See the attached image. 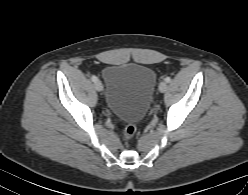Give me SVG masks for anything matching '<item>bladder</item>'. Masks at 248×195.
I'll return each instance as SVG.
<instances>
[{"mask_svg":"<svg viewBox=\"0 0 248 195\" xmlns=\"http://www.w3.org/2000/svg\"><path fill=\"white\" fill-rule=\"evenodd\" d=\"M105 103L120 119L137 123L146 114L156 83V74L137 63L108 65L103 71Z\"/></svg>","mask_w":248,"mask_h":195,"instance_id":"obj_1","label":"bladder"}]
</instances>
